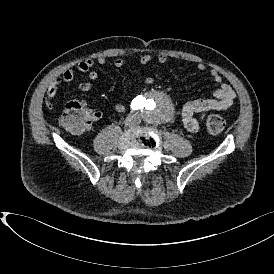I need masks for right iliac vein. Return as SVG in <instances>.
Here are the masks:
<instances>
[{
  "mask_svg": "<svg viewBox=\"0 0 274 274\" xmlns=\"http://www.w3.org/2000/svg\"><path fill=\"white\" fill-rule=\"evenodd\" d=\"M134 124H135V119L133 116H130L125 120V126L127 127H132Z\"/></svg>",
  "mask_w": 274,
  "mask_h": 274,
  "instance_id": "1",
  "label": "right iliac vein"
}]
</instances>
